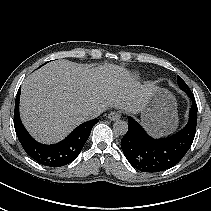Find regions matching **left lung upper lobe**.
Masks as SVG:
<instances>
[{"mask_svg":"<svg viewBox=\"0 0 211 211\" xmlns=\"http://www.w3.org/2000/svg\"><path fill=\"white\" fill-rule=\"evenodd\" d=\"M177 84L180 87V89L189 88L188 85L179 76L177 78Z\"/></svg>","mask_w":211,"mask_h":211,"instance_id":"1","label":"left lung upper lobe"}]
</instances>
